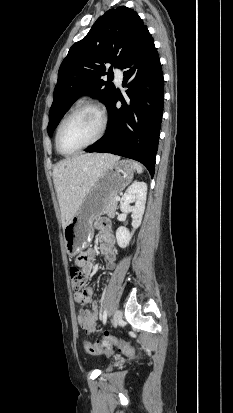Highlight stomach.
<instances>
[{
  "instance_id": "1",
  "label": "stomach",
  "mask_w": 233,
  "mask_h": 413,
  "mask_svg": "<svg viewBox=\"0 0 233 413\" xmlns=\"http://www.w3.org/2000/svg\"><path fill=\"white\" fill-rule=\"evenodd\" d=\"M134 170L131 162L121 160L114 162L100 174L77 212L63 229L68 255L75 256L88 245L93 234V221L104 213V203L132 181Z\"/></svg>"
}]
</instances>
